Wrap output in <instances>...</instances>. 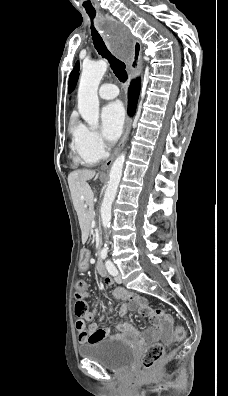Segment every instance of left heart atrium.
Returning <instances> with one entry per match:
<instances>
[{
	"mask_svg": "<svg viewBox=\"0 0 228 396\" xmlns=\"http://www.w3.org/2000/svg\"><path fill=\"white\" fill-rule=\"evenodd\" d=\"M103 134L110 142H115L123 130L125 111L120 102L105 106L101 113Z\"/></svg>",
	"mask_w": 228,
	"mask_h": 396,
	"instance_id": "obj_1",
	"label": "left heart atrium"
}]
</instances>
